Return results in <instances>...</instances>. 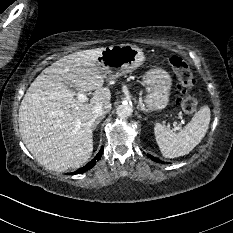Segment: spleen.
I'll use <instances>...</instances> for the list:
<instances>
[{"instance_id": "3e777b00", "label": "spleen", "mask_w": 233, "mask_h": 233, "mask_svg": "<svg viewBox=\"0 0 233 233\" xmlns=\"http://www.w3.org/2000/svg\"><path fill=\"white\" fill-rule=\"evenodd\" d=\"M210 108L202 106L192 117L190 123L179 132L156 123L154 134L156 142L165 158H176L190 153L205 136L210 123Z\"/></svg>"}]
</instances>
